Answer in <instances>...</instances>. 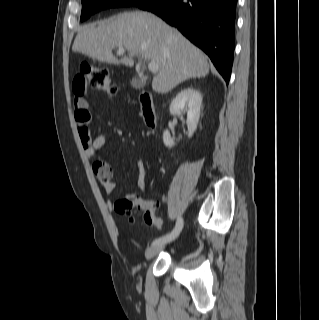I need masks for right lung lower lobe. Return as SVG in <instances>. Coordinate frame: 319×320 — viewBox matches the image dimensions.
Instances as JSON below:
<instances>
[{
	"mask_svg": "<svg viewBox=\"0 0 319 320\" xmlns=\"http://www.w3.org/2000/svg\"><path fill=\"white\" fill-rule=\"evenodd\" d=\"M237 0H152L138 6L180 30L200 47L229 82Z\"/></svg>",
	"mask_w": 319,
	"mask_h": 320,
	"instance_id": "1",
	"label": "right lung lower lobe"
}]
</instances>
